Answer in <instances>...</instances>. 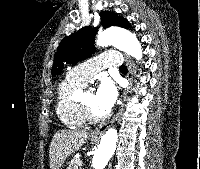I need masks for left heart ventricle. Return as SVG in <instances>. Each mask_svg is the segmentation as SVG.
I'll use <instances>...</instances> for the list:
<instances>
[{"instance_id":"obj_1","label":"left heart ventricle","mask_w":200,"mask_h":169,"mask_svg":"<svg viewBox=\"0 0 200 169\" xmlns=\"http://www.w3.org/2000/svg\"><path fill=\"white\" fill-rule=\"evenodd\" d=\"M83 101L90 107L93 113L97 116H103V112L99 108L96 101V94L93 91H89L85 94Z\"/></svg>"}]
</instances>
